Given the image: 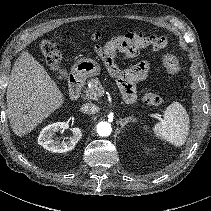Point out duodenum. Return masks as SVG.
<instances>
[{"label": "duodenum", "mask_w": 211, "mask_h": 211, "mask_svg": "<svg viewBox=\"0 0 211 211\" xmlns=\"http://www.w3.org/2000/svg\"><path fill=\"white\" fill-rule=\"evenodd\" d=\"M69 96L72 100H77L83 89V79L80 74L72 73L69 77Z\"/></svg>", "instance_id": "obj_1"}]
</instances>
